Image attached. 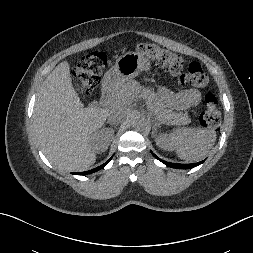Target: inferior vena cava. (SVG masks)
<instances>
[{
    "label": "inferior vena cava",
    "mask_w": 253,
    "mask_h": 253,
    "mask_svg": "<svg viewBox=\"0 0 253 253\" xmlns=\"http://www.w3.org/2000/svg\"><path fill=\"white\" fill-rule=\"evenodd\" d=\"M128 113V108L126 106H120L113 104L109 108L108 112V122L112 125H117L125 119Z\"/></svg>",
    "instance_id": "1"
}]
</instances>
